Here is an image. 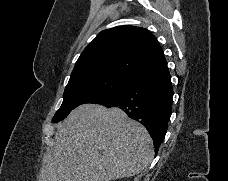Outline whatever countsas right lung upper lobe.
I'll return each instance as SVG.
<instances>
[{
    "label": "right lung upper lobe",
    "instance_id": "1",
    "mask_svg": "<svg viewBox=\"0 0 228 181\" xmlns=\"http://www.w3.org/2000/svg\"><path fill=\"white\" fill-rule=\"evenodd\" d=\"M165 60L158 41L148 30L118 26L101 31L84 49L69 82L99 74L133 78Z\"/></svg>",
    "mask_w": 228,
    "mask_h": 181
}]
</instances>
